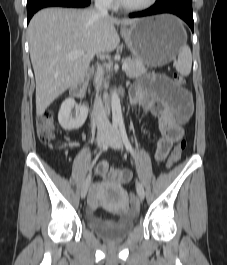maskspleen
<instances>
[{"label":"spleen","instance_id":"spleen-1","mask_svg":"<svg viewBox=\"0 0 227 265\" xmlns=\"http://www.w3.org/2000/svg\"><path fill=\"white\" fill-rule=\"evenodd\" d=\"M176 70L184 76H188L192 67V54L188 45H184L178 52V59L176 61Z\"/></svg>","mask_w":227,"mask_h":265}]
</instances>
